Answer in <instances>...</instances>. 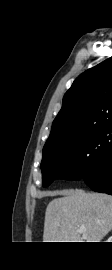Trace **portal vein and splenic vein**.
Here are the masks:
<instances>
[{"instance_id": "obj_1", "label": "portal vein and splenic vein", "mask_w": 112, "mask_h": 270, "mask_svg": "<svg viewBox=\"0 0 112 270\" xmlns=\"http://www.w3.org/2000/svg\"><path fill=\"white\" fill-rule=\"evenodd\" d=\"M78 231L81 232V233H84V232L86 231V229H85V227H80V228L78 229Z\"/></svg>"}]
</instances>
